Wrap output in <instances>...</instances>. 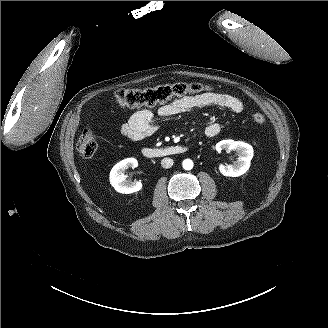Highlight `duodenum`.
Wrapping results in <instances>:
<instances>
[{
  "label": "duodenum",
  "instance_id": "duodenum-1",
  "mask_svg": "<svg viewBox=\"0 0 328 328\" xmlns=\"http://www.w3.org/2000/svg\"><path fill=\"white\" fill-rule=\"evenodd\" d=\"M187 151V148L182 145H170L165 147L153 148L145 147L142 149V155L148 159H156L180 155Z\"/></svg>",
  "mask_w": 328,
  "mask_h": 328
}]
</instances>
